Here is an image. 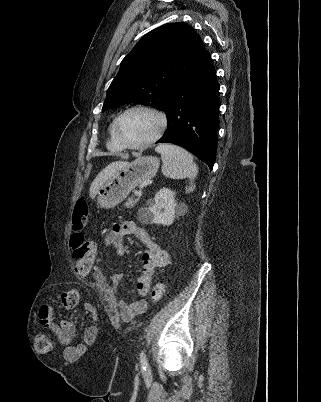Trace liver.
I'll use <instances>...</instances> for the list:
<instances>
[{
  "label": "liver",
  "mask_w": 321,
  "mask_h": 402,
  "mask_svg": "<svg viewBox=\"0 0 321 402\" xmlns=\"http://www.w3.org/2000/svg\"><path fill=\"white\" fill-rule=\"evenodd\" d=\"M129 163L126 161H115L106 166L94 179L90 186V196L94 197L101 185L116 171L125 167Z\"/></svg>",
  "instance_id": "1"
}]
</instances>
